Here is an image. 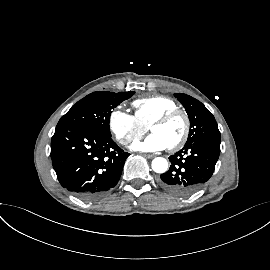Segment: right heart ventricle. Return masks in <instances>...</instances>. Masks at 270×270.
I'll return each mask as SVG.
<instances>
[{"instance_id": "1", "label": "right heart ventricle", "mask_w": 270, "mask_h": 270, "mask_svg": "<svg viewBox=\"0 0 270 270\" xmlns=\"http://www.w3.org/2000/svg\"><path fill=\"white\" fill-rule=\"evenodd\" d=\"M132 105L135 108L136 118L145 127L163 113L178 108V104L173 99L162 95L136 99Z\"/></svg>"}]
</instances>
